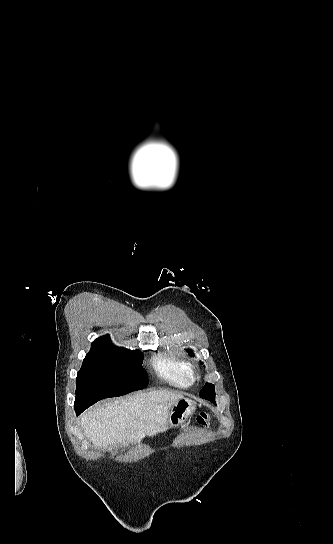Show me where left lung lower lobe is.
<instances>
[{
	"mask_svg": "<svg viewBox=\"0 0 333 544\" xmlns=\"http://www.w3.org/2000/svg\"><path fill=\"white\" fill-rule=\"evenodd\" d=\"M202 398H203V399H206V400H209V401H211V402H214V403L216 404V402H215V393H214V394L205 395V396H203Z\"/></svg>",
	"mask_w": 333,
	"mask_h": 544,
	"instance_id": "1",
	"label": "left lung lower lobe"
}]
</instances>
